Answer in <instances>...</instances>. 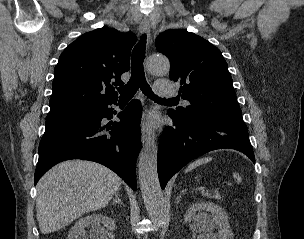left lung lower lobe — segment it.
<instances>
[{"label":"left lung lower lobe","mask_w":304,"mask_h":239,"mask_svg":"<svg viewBox=\"0 0 304 239\" xmlns=\"http://www.w3.org/2000/svg\"><path fill=\"white\" fill-rule=\"evenodd\" d=\"M168 115L174 123L163 130L158 146L157 169L162 189L183 166L212 150L235 149L255 163L248 129L243 120L182 119L172 110H168Z\"/></svg>","instance_id":"obj_1"}]
</instances>
